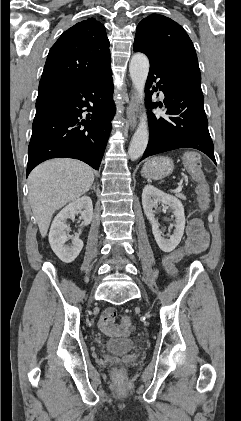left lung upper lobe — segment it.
<instances>
[{"instance_id":"left-lung-upper-lobe-1","label":"left lung upper lobe","mask_w":241,"mask_h":421,"mask_svg":"<svg viewBox=\"0 0 241 421\" xmlns=\"http://www.w3.org/2000/svg\"><path fill=\"white\" fill-rule=\"evenodd\" d=\"M134 47L148 58L200 74L191 39L178 23L168 17L152 14L144 18L137 26Z\"/></svg>"}]
</instances>
